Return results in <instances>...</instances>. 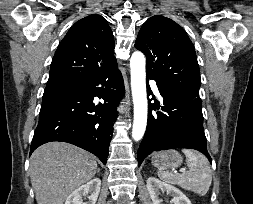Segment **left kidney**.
I'll return each instance as SVG.
<instances>
[{
	"instance_id": "5707ae66",
	"label": "left kidney",
	"mask_w": 253,
	"mask_h": 204,
	"mask_svg": "<svg viewBox=\"0 0 253 204\" xmlns=\"http://www.w3.org/2000/svg\"><path fill=\"white\" fill-rule=\"evenodd\" d=\"M147 190L153 204H161L160 194L165 193L172 197L171 202L174 204H192L191 201L176 187L160 181L155 177L147 179Z\"/></svg>"
}]
</instances>
